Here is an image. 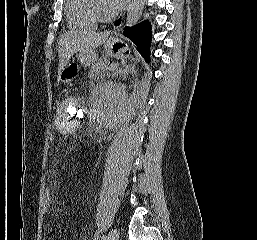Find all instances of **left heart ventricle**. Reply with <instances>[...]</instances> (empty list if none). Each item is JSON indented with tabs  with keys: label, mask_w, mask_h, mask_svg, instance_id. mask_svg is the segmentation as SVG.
Here are the masks:
<instances>
[{
	"label": "left heart ventricle",
	"mask_w": 257,
	"mask_h": 240,
	"mask_svg": "<svg viewBox=\"0 0 257 240\" xmlns=\"http://www.w3.org/2000/svg\"><path fill=\"white\" fill-rule=\"evenodd\" d=\"M102 1L105 3L106 0H102ZM105 4H106V3H105Z\"/></svg>",
	"instance_id": "b2bd125f"
}]
</instances>
